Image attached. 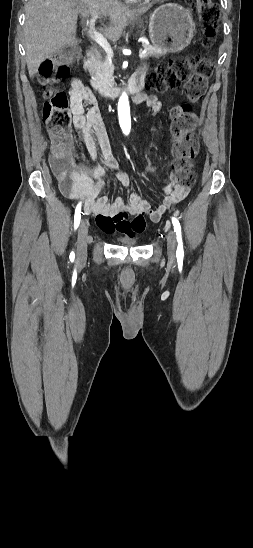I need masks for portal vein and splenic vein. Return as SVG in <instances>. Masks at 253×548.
<instances>
[{
	"label": "portal vein and splenic vein",
	"mask_w": 253,
	"mask_h": 548,
	"mask_svg": "<svg viewBox=\"0 0 253 548\" xmlns=\"http://www.w3.org/2000/svg\"><path fill=\"white\" fill-rule=\"evenodd\" d=\"M98 14L91 15V19L89 22V36L105 51L107 56L111 59L114 56L113 50L108 43V41L104 38L103 35H101L99 32L95 30V21L98 19ZM146 50L139 52V58L142 59L145 57Z\"/></svg>",
	"instance_id": "18ae733b"
}]
</instances>
